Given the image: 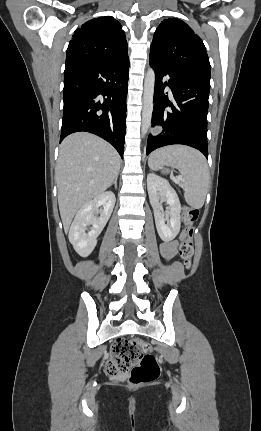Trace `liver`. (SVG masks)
<instances>
[{"instance_id":"6515ba94","label":"liver","mask_w":261,"mask_h":431,"mask_svg":"<svg viewBox=\"0 0 261 431\" xmlns=\"http://www.w3.org/2000/svg\"><path fill=\"white\" fill-rule=\"evenodd\" d=\"M119 169V154L100 137L78 132L63 140L56 166V183L65 232L77 211L110 187Z\"/></svg>"}]
</instances>
